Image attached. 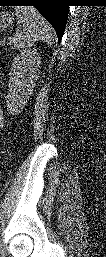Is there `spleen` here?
Segmentation results:
<instances>
[{"mask_svg": "<svg viewBox=\"0 0 106 257\" xmlns=\"http://www.w3.org/2000/svg\"><path fill=\"white\" fill-rule=\"evenodd\" d=\"M17 22L23 25L18 34L22 47H32L36 41L51 43L54 33L48 22L34 7H16Z\"/></svg>", "mask_w": 106, "mask_h": 257, "instance_id": "spleen-1", "label": "spleen"}]
</instances>
